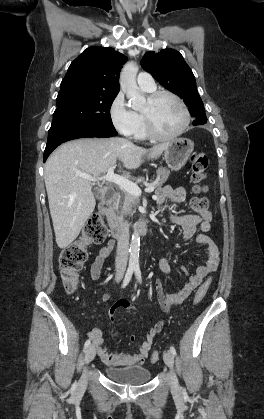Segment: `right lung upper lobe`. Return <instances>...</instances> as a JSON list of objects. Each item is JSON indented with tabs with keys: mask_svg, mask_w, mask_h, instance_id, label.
I'll return each mask as SVG.
<instances>
[{
	"mask_svg": "<svg viewBox=\"0 0 264 419\" xmlns=\"http://www.w3.org/2000/svg\"><path fill=\"white\" fill-rule=\"evenodd\" d=\"M127 57L110 47L87 48L69 66L61 87L82 85L91 90L117 93L119 72Z\"/></svg>",
	"mask_w": 264,
	"mask_h": 419,
	"instance_id": "1",
	"label": "right lung upper lobe"
}]
</instances>
